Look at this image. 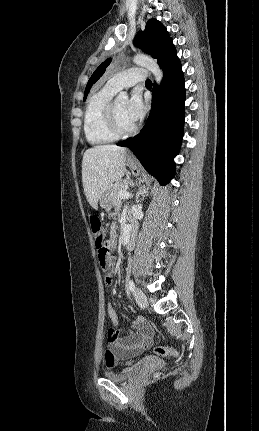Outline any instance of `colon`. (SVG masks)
I'll list each match as a JSON object with an SVG mask.
<instances>
[{
  "instance_id": "5ec220e1",
  "label": "colon",
  "mask_w": 259,
  "mask_h": 431,
  "mask_svg": "<svg viewBox=\"0 0 259 431\" xmlns=\"http://www.w3.org/2000/svg\"><path fill=\"white\" fill-rule=\"evenodd\" d=\"M91 230L95 239V245L98 251V259L100 266H106L111 268L113 262L112 248L109 242L105 240V231L102 222L98 216L92 215L90 217ZM116 336L114 334H108V342L115 341ZM154 353L162 357H175L177 351L173 348L155 347Z\"/></svg>"
}]
</instances>
